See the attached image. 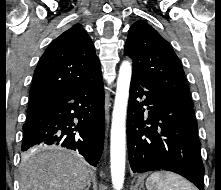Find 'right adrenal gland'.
Segmentation results:
<instances>
[{
	"label": "right adrenal gland",
	"instance_id": "2a0ac1e0",
	"mask_svg": "<svg viewBox=\"0 0 221 190\" xmlns=\"http://www.w3.org/2000/svg\"><path fill=\"white\" fill-rule=\"evenodd\" d=\"M89 188H90V184L88 185V187L85 190H89Z\"/></svg>",
	"mask_w": 221,
	"mask_h": 190
}]
</instances>
